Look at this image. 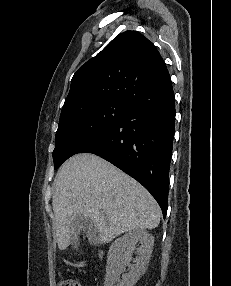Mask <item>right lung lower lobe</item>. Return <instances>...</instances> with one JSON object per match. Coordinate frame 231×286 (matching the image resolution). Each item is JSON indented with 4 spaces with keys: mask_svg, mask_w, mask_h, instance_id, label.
Returning a JSON list of instances; mask_svg holds the SVG:
<instances>
[{
    "mask_svg": "<svg viewBox=\"0 0 231 286\" xmlns=\"http://www.w3.org/2000/svg\"><path fill=\"white\" fill-rule=\"evenodd\" d=\"M170 77L143 89L126 102V113L78 153H93L141 183L165 217L175 130Z\"/></svg>",
    "mask_w": 231,
    "mask_h": 286,
    "instance_id": "obj_1",
    "label": "right lung lower lobe"
}]
</instances>
